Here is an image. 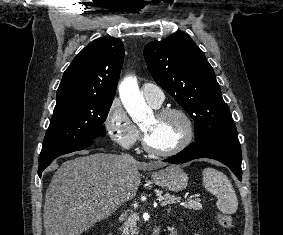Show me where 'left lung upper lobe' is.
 <instances>
[{
	"instance_id": "obj_1",
	"label": "left lung upper lobe",
	"mask_w": 283,
	"mask_h": 235,
	"mask_svg": "<svg viewBox=\"0 0 283 235\" xmlns=\"http://www.w3.org/2000/svg\"><path fill=\"white\" fill-rule=\"evenodd\" d=\"M148 69L195 121V140L236 134L215 73L201 49L177 32L144 49Z\"/></svg>"
}]
</instances>
